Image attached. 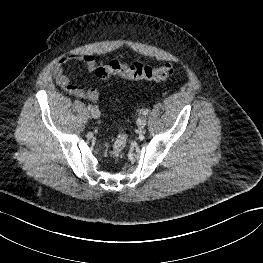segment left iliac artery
I'll return each mask as SVG.
<instances>
[{"mask_svg": "<svg viewBox=\"0 0 263 263\" xmlns=\"http://www.w3.org/2000/svg\"><path fill=\"white\" fill-rule=\"evenodd\" d=\"M148 113H149L148 109H144L143 112H142L143 115H147Z\"/></svg>", "mask_w": 263, "mask_h": 263, "instance_id": "left-iliac-artery-1", "label": "left iliac artery"}]
</instances>
